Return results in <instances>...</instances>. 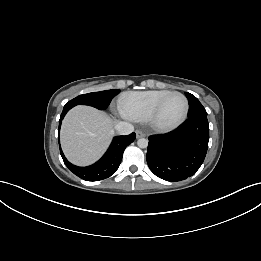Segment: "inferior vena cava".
Listing matches in <instances>:
<instances>
[{
  "label": "inferior vena cava",
  "mask_w": 261,
  "mask_h": 261,
  "mask_svg": "<svg viewBox=\"0 0 261 261\" xmlns=\"http://www.w3.org/2000/svg\"><path fill=\"white\" fill-rule=\"evenodd\" d=\"M114 129L118 135H129L134 131V126L128 122H117Z\"/></svg>",
  "instance_id": "1"
}]
</instances>
